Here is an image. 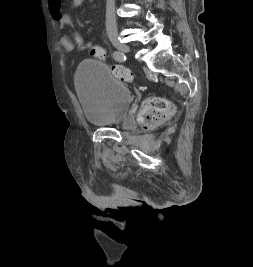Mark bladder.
<instances>
[{
	"label": "bladder",
	"instance_id": "31cf9c89",
	"mask_svg": "<svg viewBox=\"0 0 253 267\" xmlns=\"http://www.w3.org/2000/svg\"><path fill=\"white\" fill-rule=\"evenodd\" d=\"M75 84L84 117L92 125L117 122L132 101L129 87L99 60L83 61Z\"/></svg>",
	"mask_w": 253,
	"mask_h": 267
}]
</instances>
